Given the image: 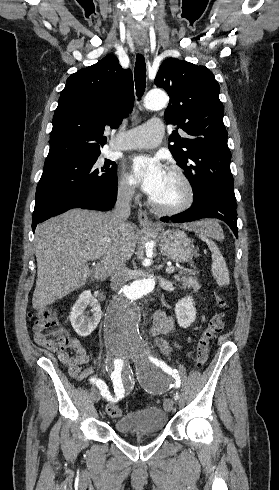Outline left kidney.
<instances>
[{
	"instance_id": "1",
	"label": "left kidney",
	"mask_w": 279,
	"mask_h": 490,
	"mask_svg": "<svg viewBox=\"0 0 279 490\" xmlns=\"http://www.w3.org/2000/svg\"><path fill=\"white\" fill-rule=\"evenodd\" d=\"M195 306L196 302H194L192 296H185V298H181L175 304V316L180 328H190L191 324L195 322L197 318Z\"/></svg>"
}]
</instances>
